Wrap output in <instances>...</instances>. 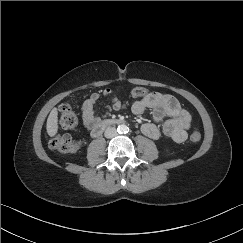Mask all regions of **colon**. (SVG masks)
I'll use <instances>...</instances> for the list:
<instances>
[{
  "label": "colon",
  "instance_id": "colon-1",
  "mask_svg": "<svg viewBox=\"0 0 243 243\" xmlns=\"http://www.w3.org/2000/svg\"><path fill=\"white\" fill-rule=\"evenodd\" d=\"M144 94V90L141 87L133 89L131 92L132 97H141ZM60 123L64 128L76 129L78 121L74 110L69 103H62L59 107ZM201 139V133L198 130H193L190 133V140L198 142ZM50 146L61 153H73L80 149V142L75 141L68 134H59L55 136Z\"/></svg>",
  "mask_w": 243,
  "mask_h": 243
}]
</instances>
